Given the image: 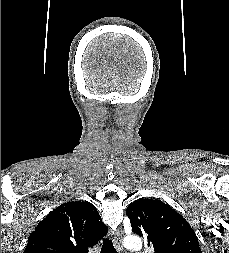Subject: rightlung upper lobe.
<instances>
[{"label":"right lung upper lobe","mask_w":229,"mask_h":253,"mask_svg":"<svg viewBox=\"0 0 229 253\" xmlns=\"http://www.w3.org/2000/svg\"><path fill=\"white\" fill-rule=\"evenodd\" d=\"M107 232L93 204L67 202L39 222L24 253H88Z\"/></svg>","instance_id":"1"}]
</instances>
